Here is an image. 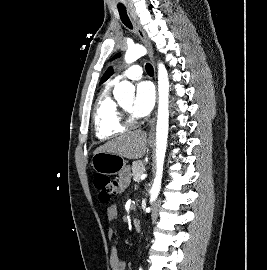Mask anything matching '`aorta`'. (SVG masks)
<instances>
[{"instance_id": "aorta-1", "label": "aorta", "mask_w": 267, "mask_h": 270, "mask_svg": "<svg viewBox=\"0 0 267 270\" xmlns=\"http://www.w3.org/2000/svg\"><path fill=\"white\" fill-rule=\"evenodd\" d=\"M147 50L142 45L128 47L125 53V61L130 64L144 56ZM135 87L129 81H121L114 88V97L117 100L132 98ZM158 116L156 126V175L150 190V202H154L160 192L165 152L167 147V136L169 126V79L168 72L162 63L158 64Z\"/></svg>"}]
</instances>
